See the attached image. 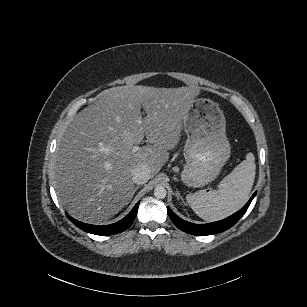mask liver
<instances>
[{
    "instance_id": "liver-1",
    "label": "liver",
    "mask_w": 307,
    "mask_h": 307,
    "mask_svg": "<svg viewBox=\"0 0 307 307\" xmlns=\"http://www.w3.org/2000/svg\"><path fill=\"white\" fill-rule=\"evenodd\" d=\"M199 92L194 86L123 85L99 93L60 139L51 167L59 203L85 223L99 224L116 215L129 203L133 169L144 163L154 177L167 161L179 139L181 119ZM145 136L152 145L131 153Z\"/></svg>"
}]
</instances>
